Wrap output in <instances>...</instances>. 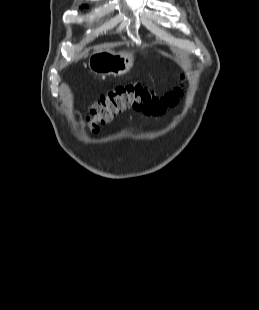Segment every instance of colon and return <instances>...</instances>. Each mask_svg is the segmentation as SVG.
<instances>
[{
    "mask_svg": "<svg viewBox=\"0 0 259 310\" xmlns=\"http://www.w3.org/2000/svg\"><path fill=\"white\" fill-rule=\"evenodd\" d=\"M181 90L160 94L141 84H122L111 89L96 101L90 110L88 123L91 130L110 122L119 113L134 109L157 114L173 106Z\"/></svg>",
    "mask_w": 259,
    "mask_h": 310,
    "instance_id": "1",
    "label": "colon"
}]
</instances>
